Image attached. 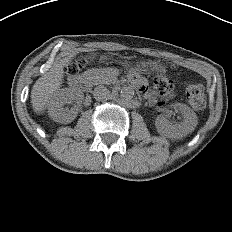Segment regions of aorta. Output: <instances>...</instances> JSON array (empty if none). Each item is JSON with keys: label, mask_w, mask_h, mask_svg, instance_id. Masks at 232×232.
I'll return each instance as SVG.
<instances>
[{"label": "aorta", "mask_w": 232, "mask_h": 232, "mask_svg": "<svg viewBox=\"0 0 232 232\" xmlns=\"http://www.w3.org/2000/svg\"><path fill=\"white\" fill-rule=\"evenodd\" d=\"M134 96V89L132 87H122L120 91V98L122 101H130Z\"/></svg>", "instance_id": "762f6f07"}]
</instances>
